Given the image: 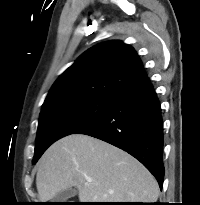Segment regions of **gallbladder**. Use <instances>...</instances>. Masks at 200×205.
<instances>
[{
  "label": "gallbladder",
  "instance_id": "gallbladder-1",
  "mask_svg": "<svg viewBox=\"0 0 200 205\" xmlns=\"http://www.w3.org/2000/svg\"><path fill=\"white\" fill-rule=\"evenodd\" d=\"M77 194L74 188H69L59 192L55 197V202H65L67 199L74 197Z\"/></svg>",
  "mask_w": 200,
  "mask_h": 205
}]
</instances>
